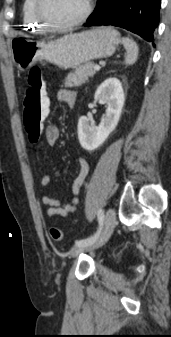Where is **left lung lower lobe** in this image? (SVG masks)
<instances>
[{
  "mask_svg": "<svg viewBox=\"0 0 171 337\" xmlns=\"http://www.w3.org/2000/svg\"><path fill=\"white\" fill-rule=\"evenodd\" d=\"M160 6L161 0H98L84 26H117L152 42L159 23Z\"/></svg>",
  "mask_w": 171,
  "mask_h": 337,
  "instance_id": "obj_1",
  "label": "left lung lower lobe"
}]
</instances>
